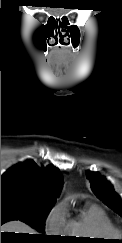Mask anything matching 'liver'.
<instances>
[{
    "label": "liver",
    "instance_id": "obj_1",
    "mask_svg": "<svg viewBox=\"0 0 122 243\" xmlns=\"http://www.w3.org/2000/svg\"><path fill=\"white\" fill-rule=\"evenodd\" d=\"M1 232L35 234V231L31 227H29L28 225L20 221H11L5 223L4 225L1 226Z\"/></svg>",
    "mask_w": 122,
    "mask_h": 243
}]
</instances>
